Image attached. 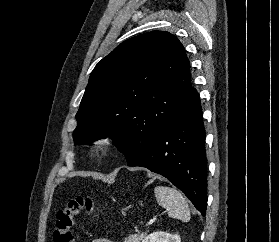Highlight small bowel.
<instances>
[{"label": "small bowel", "mask_w": 279, "mask_h": 242, "mask_svg": "<svg viewBox=\"0 0 279 242\" xmlns=\"http://www.w3.org/2000/svg\"><path fill=\"white\" fill-rule=\"evenodd\" d=\"M92 242H113V241H110V240L104 239V238H97V239H94Z\"/></svg>", "instance_id": "c3829d8e"}]
</instances>
